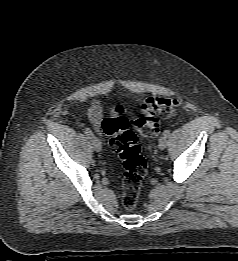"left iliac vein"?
Listing matches in <instances>:
<instances>
[{
  "mask_svg": "<svg viewBox=\"0 0 238 261\" xmlns=\"http://www.w3.org/2000/svg\"><path fill=\"white\" fill-rule=\"evenodd\" d=\"M167 143H168L167 137L162 136L158 142L159 149L164 150L167 147Z\"/></svg>",
  "mask_w": 238,
  "mask_h": 261,
  "instance_id": "4c4485c4",
  "label": "left iliac vein"
}]
</instances>
